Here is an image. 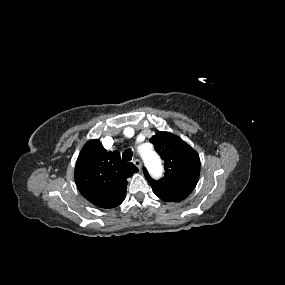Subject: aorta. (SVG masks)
<instances>
[{
  "label": "aorta",
  "instance_id": "obj_1",
  "mask_svg": "<svg viewBox=\"0 0 285 285\" xmlns=\"http://www.w3.org/2000/svg\"><path fill=\"white\" fill-rule=\"evenodd\" d=\"M139 152L152 177H161L163 168L159 156L146 145L142 146Z\"/></svg>",
  "mask_w": 285,
  "mask_h": 285
}]
</instances>
